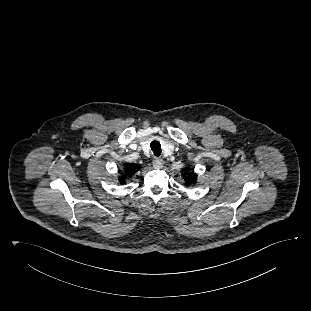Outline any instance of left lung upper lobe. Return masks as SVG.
Listing matches in <instances>:
<instances>
[{
	"mask_svg": "<svg viewBox=\"0 0 311 311\" xmlns=\"http://www.w3.org/2000/svg\"><path fill=\"white\" fill-rule=\"evenodd\" d=\"M196 177H197V175L195 174V173H190L188 176H187V178H186V182L188 183V184H193V183H195V181H196Z\"/></svg>",
	"mask_w": 311,
	"mask_h": 311,
	"instance_id": "5c2ea615",
	"label": "left lung upper lobe"
}]
</instances>
